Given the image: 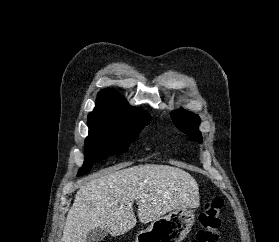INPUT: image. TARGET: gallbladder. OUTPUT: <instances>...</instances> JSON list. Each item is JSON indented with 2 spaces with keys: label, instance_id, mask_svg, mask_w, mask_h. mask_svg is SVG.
<instances>
[{
  "label": "gallbladder",
  "instance_id": "bac80fb5",
  "mask_svg": "<svg viewBox=\"0 0 279 242\" xmlns=\"http://www.w3.org/2000/svg\"><path fill=\"white\" fill-rule=\"evenodd\" d=\"M106 236L107 232L98 227L87 235L85 242H101Z\"/></svg>",
  "mask_w": 279,
  "mask_h": 242
}]
</instances>
